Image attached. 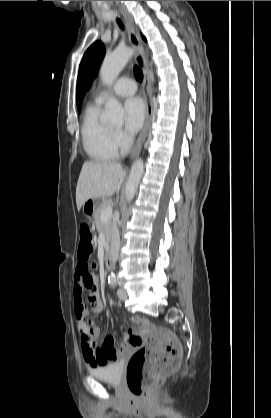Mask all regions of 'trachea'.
Instances as JSON below:
<instances>
[{
    "label": "trachea",
    "mask_w": 271,
    "mask_h": 418,
    "mask_svg": "<svg viewBox=\"0 0 271 418\" xmlns=\"http://www.w3.org/2000/svg\"><path fill=\"white\" fill-rule=\"evenodd\" d=\"M117 22H118L119 26L121 28H123V24H122L121 20L118 19ZM134 75H135V78L137 79V81L142 82V80H143V72L136 65L134 66Z\"/></svg>",
    "instance_id": "1"
}]
</instances>
